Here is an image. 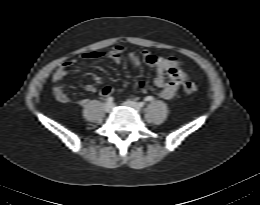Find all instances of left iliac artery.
<instances>
[{
	"mask_svg": "<svg viewBox=\"0 0 260 205\" xmlns=\"http://www.w3.org/2000/svg\"><path fill=\"white\" fill-rule=\"evenodd\" d=\"M148 100H152V97H148ZM138 105H139V107H143L144 103L143 102H139Z\"/></svg>",
	"mask_w": 260,
	"mask_h": 205,
	"instance_id": "obj_1",
	"label": "left iliac artery"
}]
</instances>
